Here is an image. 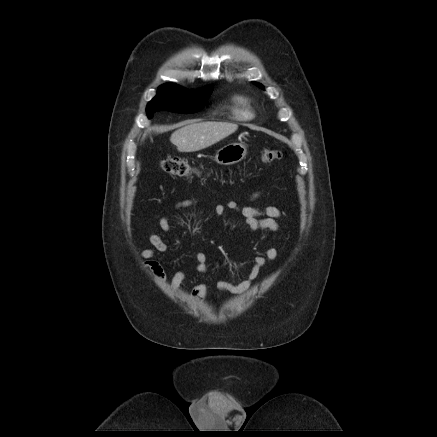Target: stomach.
Returning <instances> with one entry per match:
<instances>
[{
	"label": "stomach",
	"instance_id": "1",
	"mask_svg": "<svg viewBox=\"0 0 437 437\" xmlns=\"http://www.w3.org/2000/svg\"><path fill=\"white\" fill-rule=\"evenodd\" d=\"M247 147L243 143H230L220 148L214 160L221 165H232L240 162L246 157Z\"/></svg>",
	"mask_w": 437,
	"mask_h": 437
}]
</instances>
